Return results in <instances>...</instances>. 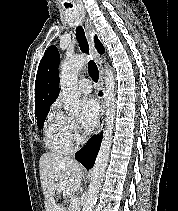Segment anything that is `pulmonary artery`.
I'll return each instance as SVG.
<instances>
[{"mask_svg":"<svg viewBox=\"0 0 178 211\" xmlns=\"http://www.w3.org/2000/svg\"><path fill=\"white\" fill-rule=\"evenodd\" d=\"M78 88L82 93L89 94L92 88L91 81L87 78L81 79L79 81Z\"/></svg>","mask_w":178,"mask_h":211,"instance_id":"1","label":"pulmonary artery"}]
</instances>
